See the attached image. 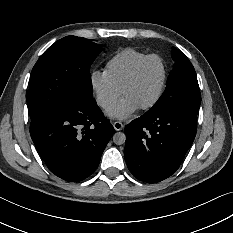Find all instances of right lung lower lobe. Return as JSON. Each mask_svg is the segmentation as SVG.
<instances>
[{
    "label": "right lung lower lobe",
    "instance_id": "1",
    "mask_svg": "<svg viewBox=\"0 0 233 233\" xmlns=\"http://www.w3.org/2000/svg\"><path fill=\"white\" fill-rule=\"evenodd\" d=\"M113 131L88 95L76 96L30 124L31 138L47 167L70 182L82 181L96 170Z\"/></svg>",
    "mask_w": 233,
    "mask_h": 233
}]
</instances>
